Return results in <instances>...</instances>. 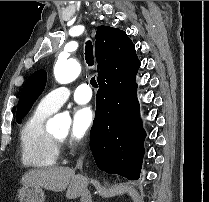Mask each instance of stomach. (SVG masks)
<instances>
[{"label": "stomach", "instance_id": "obj_1", "mask_svg": "<svg viewBox=\"0 0 209 202\" xmlns=\"http://www.w3.org/2000/svg\"><path fill=\"white\" fill-rule=\"evenodd\" d=\"M17 196L19 202H45V193L41 187L23 185Z\"/></svg>", "mask_w": 209, "mask_h": 202}]
</instances>
